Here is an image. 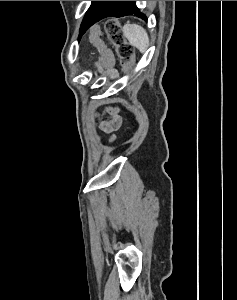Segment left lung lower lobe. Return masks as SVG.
<instances>
[{"label": "left lung lower lobe", "instance_id": "1", "mask_svg": "<svg viewBox=\"0 0 237 300\" xmlns=\"http://www.w3.org/2000/svg\"><path fill=\"white\" fill-rule=\"evenodd\" d=\"M135 14L127 7V1H109L101 13L90 22L89 28L96 22L106 17H122Z\"/></svg>", "mask_w": 237, "mask_h": 300}]
</instances>
